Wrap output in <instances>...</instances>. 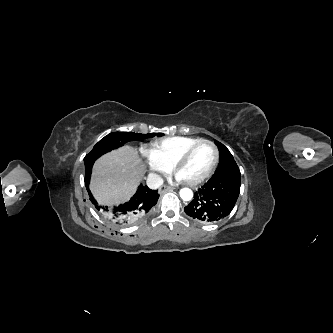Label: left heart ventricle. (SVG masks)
I'll use <instances>...</instances> for the list:
<instances>
[{
	"instance_id": "left-heart-ventricle-1",
	"label": "left heart ventricle",
	"mask_w": 333,
	"mask_h": 333,
	"mask_svg": "<svg viewBox=\"0 0 333 333\" xmlns=\"http://www.w3.org/2000/svg\"><path fill=\"white\" fill-rule=\"evenodd\" d=\"M215 151L208 144L198 146L181 167L178 176L183 180H194L204 175L212 166Z\"/></svg>"
}]
</instances>
